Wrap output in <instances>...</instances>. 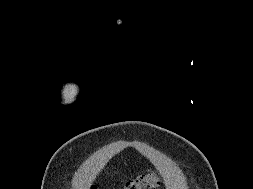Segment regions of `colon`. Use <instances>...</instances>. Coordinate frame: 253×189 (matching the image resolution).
Masks as SVG:
<instances>
[{"label": "colon", "mask_w": 253, "mask_h": 189, "mask_svg": "<svg viewBox=\"0 0 253 189\" xmlns=\"http://www.w3.org/2000/svg\"><path fill=\"white\" fill-rule=\"evenodd\" d=\"M159 180L154 174H145L127 182L122 189H157ZM92 189H96L95 186Z\"/></svg>", "instance_id": "5ec220e1"}]
</instances>
